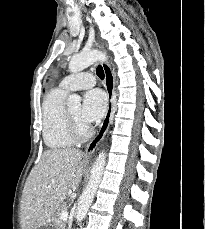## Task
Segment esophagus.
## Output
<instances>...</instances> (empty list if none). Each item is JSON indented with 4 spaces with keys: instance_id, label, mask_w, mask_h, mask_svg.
<instances>
[{
    "instance_id": "esophagus-1",
    "label": "esophagus",
    "mask_w": 205,
    "mask_h": 229,
    "mask_svg": "<svg viewBox=\"0 0 205 229\" xmlns=\"http://www.w3.org/2000/svg\"><path fill=\"white\" fill-rule=\"evenodd\" d=\"M96 46L100 50L104 49L103 46L99 42H96ZM102 67H103L104 74H105V88L108 94V107H107V111L104 116V119L97 132V135L93 138V140L86 147V157L88 158L93 154L98 144L105 137L108 131V128H109L111 115H112V105H113V96H114V78H113L111 68L107 62L103 61Z\"/></svg>"
}]
</instances>
